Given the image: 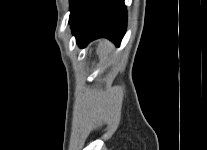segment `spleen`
Wrapping results in <instances>:
<instances>
[{"mask_svg":"<svg viewBox=\"0 0 207 150\" xmlns=\"http://www.w3.org/2000/svg\"><path fill=\"white\" fill-rule=\"evenodd\" d=\"M112 45L107 40H101L98 44L97 53L100 57L105 59L108 54L112 51Z\"/></svg>","mask_w":207,"mask_h":150,"instance_id":"obj_1","label":"spleen"}]
</instances>
